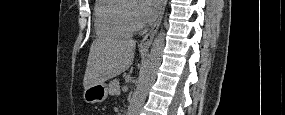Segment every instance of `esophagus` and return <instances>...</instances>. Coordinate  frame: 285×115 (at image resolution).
<instances>
[{
  "mask_svg": "<svg viewBox=\"0 0 285 115\" xmlns=\"http://www.w3.org/2000/svg\"><path fill=\"white\" fill-rule=\"evenodd\" d=\"M167 0H162L161 1V6H160V11H159V15L158 18L155 22V24L152 26V28L150 29V31L143 37V39L140 41L139 47L140 48H144V49H148L150 47V45L153 42V39L158 31V28L161 24L162 18H163V14L165 11V6H166Z\"/></svg>",
  "mask_w": 285,
  "mask_h": 115,
  "instance_id": "1",
  "label": "esophagus"
}]
</instances>
